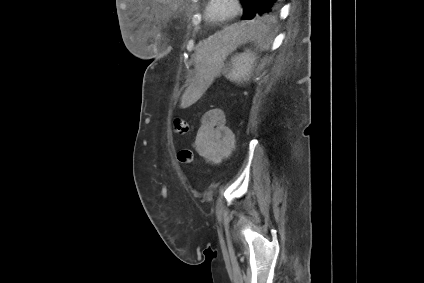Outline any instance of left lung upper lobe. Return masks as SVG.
Masks as SVG:
<instances>
[{
	"instance_id": "left-lung-upper-lobe-1",
	"label": "left lung upper lobe",
	"mask_w": 424,
	"mask_h": 283,
	"mask_svg": "<svg viewBox=\"0 0 424 283\" xmlns=\"http://www.w3.org/2000/svg\"><path fill=\"white\" fill-rule=\"evenodd\" d=\"M244 7V14L242 16L243 20H249V19H259V18H273V16L276 15L277 10L270 14H265L261 16H256V10L259 6V2L261 0H240Z\"/></svg>"
}]
</instances>
